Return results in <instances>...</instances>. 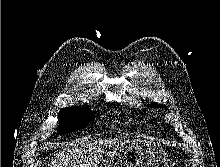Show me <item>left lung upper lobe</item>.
<instances>
[{
    "instance_id": "obj_1",
    "label": "left lung upper lobe",
    "mask_w": 220,
    "mask_h": 167,
    "mask_svg": "<svg viewBox=\"0 0 220 167\" xmlns=\"http://www.w3.org/2000/svg\"><path fill=\"white\" fill-rule=\"evenodd\" d=\"M150 106H152V107H165L167 109V107L165 105H161V104H157V103H151Z\"/></svg>"
}]
</instances>
